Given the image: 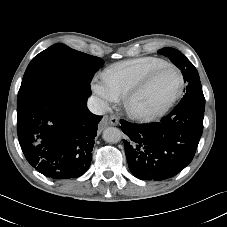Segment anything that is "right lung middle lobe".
<instances>
[{
	"label": "right lung middle lobe",
	"instance_id": "1",
	"mask_svg": "<svg viewBox=\"0 0 227 227\" xmlns=\"http://www.w3.org/2000/svg\"><path fill=\"white\" fill-rule=\"evenodd\" d=\"M101 58L55 44L36 55L28 65L17 104L38 92L64 90L90 96V82L102 64Z\"/></svg>",
	"mask_w": 227,
	"mask_h": 227
}]
</instances>
